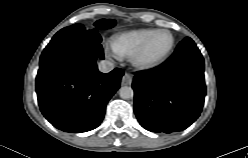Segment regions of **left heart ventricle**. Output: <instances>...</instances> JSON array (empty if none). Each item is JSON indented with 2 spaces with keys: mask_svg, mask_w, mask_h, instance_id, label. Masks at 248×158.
Returning <instances> with one entry per match:
<instances>
[{
  "mask_svg": "<svg viewBox=\"0 0 248 158\" xmlns=\"http://www.w3.org/2000/svg\"><path fill=\"white\" fill-rule=\"evenodd\" d=\"M170 36L167 33H159L152 39L148 51L147 58H156L160 56L169 46Z\"/></svg>",
  "mask_w": 248,
  "mask_h": 158,
  "instance_id": "left-heart-ventricle-1",
  "label": "left heart ventricle"
}]
</instances>
